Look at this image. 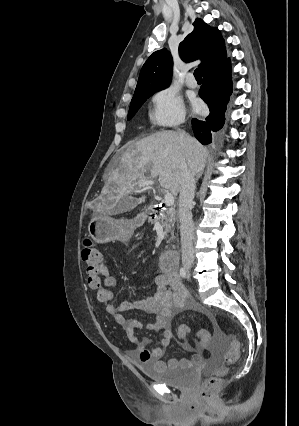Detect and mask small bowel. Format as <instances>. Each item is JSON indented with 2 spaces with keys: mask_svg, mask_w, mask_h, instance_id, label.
I'll return each instance as SVG.
<instances>
[{
  "mask_svg": "<svg viewBox=\"0 0 299 426\" xmlns=\"http://www.w3.org/2000/svg\"><path fill=\"white\" fill-rule=\"evenodd\" d=\"M162 268V267H161ZM101 281L106 288L107 296L104 300L107 311L115 315L116 321L126 331L129 341L134 348L129 351V359L133 362H150L156 368H192L202 363L204 351L201 346L185 342V349L192 353L190 359L172 358L168 362L162 360L166 348L172 339V330L169 321L172 317L184 310H194L211 318L206 309L198 305L191 298L185 286L179 279L176 267L173 269L162 268V273L156 276L154 280V294L147 298H136L133 301L121 300L114 301L113 288L117 286L118 281L113 276L107 265L105 258L98 268ZM128 311H142L156 316L152 323L144 324L136 319H126L123 313ZM161 330L162 340L160 346L149 348L150 339L139 338L136 334L138 330Z\"/></svg>",
  "mask_w": 299,
  "mask_h": 426,
  "instance_id": "1",
  "label": "small bowel"
}]
</instances>
